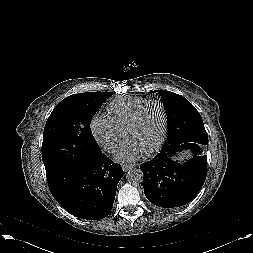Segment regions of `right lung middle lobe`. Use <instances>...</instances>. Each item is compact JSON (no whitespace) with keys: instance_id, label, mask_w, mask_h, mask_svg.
Masks as SVG:
<instances>
[{"instance_id":"1","label":"right lung middle lobe","mask_w":253,"mask_h":253,"mask_svg":"<svg viewBox=\"0 0 253 253\" xmlns=\"http://www.w3.org/2000/svg\"><path fill=\"white\" fill-rule=\"evenodd\" d=\"M112 94H73L53 109L43 133L42 160L46 170L82 161L100 150L92 135L90 122Z\"/></svg>"}]
</instances>
